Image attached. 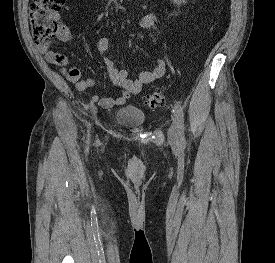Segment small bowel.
<instances>
[{
	"mask_svg": "<svg viewBox=\"0 0 275 263\" xmlns=\"http://www.w3.org/2000/svg\"><path fill=\"white\" fill-rule=\"evenodd\" d=\"M138 25L143 29L160 32L158 17L152 13L140 15L138 18ZM71 39V32L66 27L61 26V29L57 34V40L67 42ZM50 47L51 43L37 46L38 50L45 55L46 60L59 67L63 76L69 82L74 83L78 91L83 92L93 87L94 80L92 78H83L80 70L70 63L66 55L54 52L50 50ZM109 47L110 40L108 37L99 38L97 42V51L101 55H104ZM104 64L113 83L122 89L121 93L116 97L103 98L97 95L91 97L92 102H95L100 107L106 109L125 105L130 97L140 93L146 84L164 77L169 70V63L165 59L160 58L156 61V65L152 70L143 71L137 78L130 79L128 78L127 70L115 65L111 59L104 57Z\"/></svg>",
	"mask_w": 275,
	"mask_h": 263,
	"instance_id": "1",
	"label": "small bowel"
}]
</instances>
